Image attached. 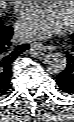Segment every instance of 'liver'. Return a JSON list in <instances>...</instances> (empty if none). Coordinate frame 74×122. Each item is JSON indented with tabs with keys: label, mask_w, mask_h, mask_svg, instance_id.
<instances>
[{
	"label": "liver",
	"mask_w": 74,
	"mask_h": 122,
	"mask_svg": "<svg viewBox=\"0 0 74 122\" xmlns=\"http://www.w3.org/2000/svg\"><path fill=\"white\" fill-rule=\"evenodd\" d=\"M5 6H6L5 1H1V2H0V7H1V8H5Z\"/></svg>",
	"instance_id": "1"
}]
</instances>
